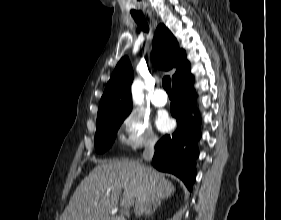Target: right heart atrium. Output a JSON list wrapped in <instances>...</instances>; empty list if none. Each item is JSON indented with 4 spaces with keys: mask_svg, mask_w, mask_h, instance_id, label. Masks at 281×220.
Returning a JSON list of instances; mask_svg holds the SVG:
<instances>
[{
    "mask_svg": "<svg viewBox=\"0 0 281 220\" xmlns=\"http://www.w3.org/2000/svg\"><path fill=\"white\" fill-rule=\"evenodd\" d=\"M121 141L136 150L156 145L158 138L149 118L140 110H132L123 120Z\"/></svg>",
    "mask_w": 281,
    "mask_h": 220,
    "instance_id": "1",
    "label": "right heart atrium"
}]
</instances>
